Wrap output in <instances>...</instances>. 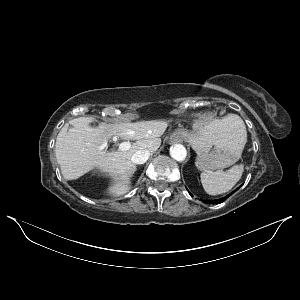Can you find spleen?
<instances>
[{"label": "spleen", "mask_w": 300, "mask_h": 300, "mask_svg": "<svg viewBox=\"0 0 300 300\" xmlns=\"http://www.w3.org/2000/svg\"><path fill=\"white\" fill-rule=\"evenodd\" d=\"M232 120L240 133L243 134L244 145L247 142L246 127L238 115L229 114L225 117ZM243 174V164L235 165L227 171H204L201 173V183L206 193L210 195H218L225 193L232 189L236 183L241 179Z\"/></svg>", "instance_id": "obj_1"}]
</instances>
